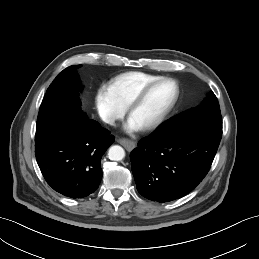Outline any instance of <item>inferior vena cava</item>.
Instances as JSON below:
<instances>
[{
    "label": "inferior vena cava",
    "instance_id": "1",
    "mask_svg": "<svg viewBox=\"0 0 259 259\" xmlns=\"http://www.w3.org/2000/svg\"><path fill=\"white\" fill-rule=\"evenodd\" d=\"M106 122H107L108 124H110V125H114L115 119H113V118H108Z\"/></svg>",
    "mask_w": 259,
    "mask_h": 259
}]
</instances>
